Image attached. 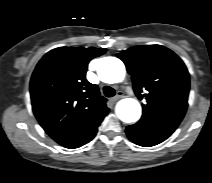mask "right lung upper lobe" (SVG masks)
<instances>
[{"mask_svg": "<svg viewBox=\"0 0 212 183\" xmlns=\"http://www.w3.org/2000/svg\"><path fill=\"white\" fill-rule=\"evenodd\" d=\"M105 52V48L59 47L49 51L32 74L33 112L62 146L83 140L109 112L97 85L86 80L89 61Z\"/></svg>", "mask_w": 212, "mask_h": 183, "instance_id": "cb5924a9", "label": "right lung upper lobe"}]
</instances>
